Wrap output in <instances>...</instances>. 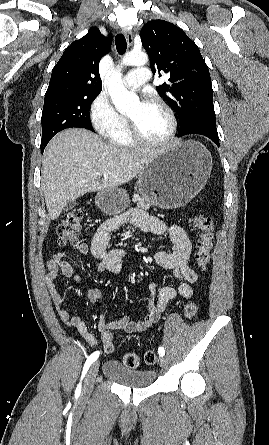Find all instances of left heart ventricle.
<instances>
[{
	"label": "left heart ventricle",
	"mask_w": 269,
	"mask_h": 445,
	"mask_svg": "<svg viewBox=\"0 0 269 445\" xmlns=\"http://www.w3.org/2000/svg\"><path fill=\"white\" fill-rule=\"evenodd\" d=\"M141 134L150 140L164 138L170 129V121L166 112L153 103L137 102L129 111Z\"/></svg>",
	"instance_id": "b2bd125f"
}]
</instances>
